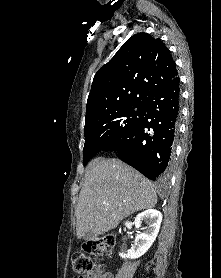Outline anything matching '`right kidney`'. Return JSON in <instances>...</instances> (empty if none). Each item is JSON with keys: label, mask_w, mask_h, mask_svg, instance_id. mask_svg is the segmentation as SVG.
<instances>
[{"label": "right kidney", "mask_w": 221, "mask_h": 278, "mask_svg": "<svg viewBox=\"0 0 221 278\" xmlns=\"http://www.w3.org/2000/svg\"><path fill=\"white\" fill-rule=\"evenodd\" d=\"M142 222H145L147 226L143 228V232L136 236L134 244L127 254L119 253L122 258L136 259L146 253L158 235L162 222V214L156 209H148L136 217L135 227L140 228Z\"/></svg>", "instance_id": "1"}]
</instances>
